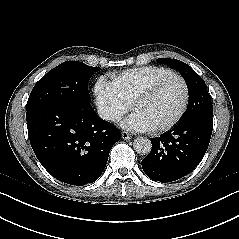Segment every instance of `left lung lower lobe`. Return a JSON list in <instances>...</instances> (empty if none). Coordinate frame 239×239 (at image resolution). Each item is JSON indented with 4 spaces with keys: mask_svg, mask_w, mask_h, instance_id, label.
Returning <instances> with one entry per match:
<instances>
[{
    "mask_svg": "<svg viewBox=\"0 0 239 239\" xmlns=\"http://www.w3.org/2000/svg\"><path fill=\"white\" fill-rule=\"evenodd\" d=\"M212 129V116L200 115L152 138V150L142 160L144 172L152 180L162 183L186 176L206 153Z\"/></svg>",
    "mask_w": 239,
    "mask_h": 239,
    "instance_id": "left-lung-lower-lobe-1",
    "label": "left lung lower lobe"
}]
</instances>
